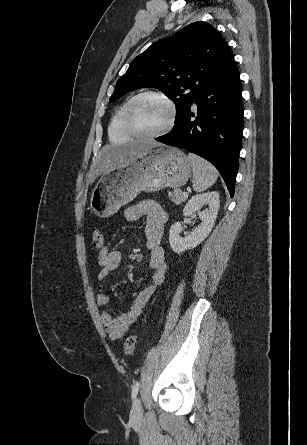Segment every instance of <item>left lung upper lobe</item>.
Returning <instances> with one entry per match:
<instances>
[{
  "label": "left lung upper lobe",
  "instance_id": "left-lung-upper-lobe-1",
  "mask_svg": "<svg viewBox=\"0 0 307 445\" xmlns=\"http://www.w3.org/2000/svg\"><path fill=\"white\" fill-rule=\"evenodd\" d=\"M232 59L231 50L213 26L194 22L138 55L117 81L110 101L134 89L158 88L174 101L176 124ZM187 89L190 92L184 93Z\"/></svg>",
  "mask_w": 307,
  "mask_h": 445
}]
</instances>
